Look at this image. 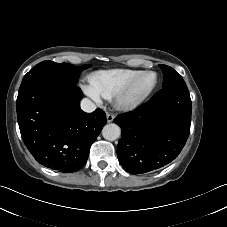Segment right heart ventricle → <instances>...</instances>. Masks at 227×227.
Instances as JSON below:
<instances>
[{
    "label": "right heart ventricle",
    "instance_id": "1",
    "mask_svg": "<svg viewBox=\"0 0 227 227\" xmlns=\"http://www.w3.org/2000/svg\"><path fill=\"white\" fill-rule=\"evenodd\" d=\"M141 70L109 69L90 76L91 87L102 97L111 98L124 88Z\"/></svg>",
    "mask_w": 227,
    "mask_h": 227
}]
</instances>
